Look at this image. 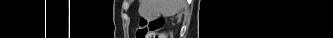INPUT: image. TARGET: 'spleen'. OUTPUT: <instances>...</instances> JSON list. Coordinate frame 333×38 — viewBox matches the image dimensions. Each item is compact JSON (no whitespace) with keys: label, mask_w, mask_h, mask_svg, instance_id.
Wrapping results in <instances>:
<instances>
[{"label":"spleen","mask_w":333,"mask_h":38,"mask_svg":"<svg viewBox=\"0 0 333 38\" xmlns=\"http://www.w3.org/2000/svg\"><path fill=\"white\" fill-rule=\"evenodd\" d=\"M161 12H162L163 14H167V13H168V10H167L166 8H163V9L161 10Z\"/></svg>","instance_id":"3e777b00"}]
</instances>
